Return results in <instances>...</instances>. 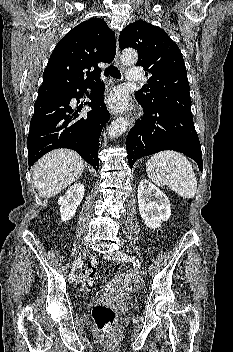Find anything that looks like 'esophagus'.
Segmentation results:
<instances>
[{"label": "esophagus", "instance_id": "esophagus-1", "mask_svg": "<svg viewBox=\"0 0 233 352\" xmlns=\"http://www.w3.org/2000/svg\"><path fill=\"white\" fill-rule=\"evenodd\" d=\"M115 64L118 67H122L121 60H120V51H119L118 43H117V48H116ZM129 123H130L131 126L133 125L134 117H132V116L129 117Z\"/></svg>", "mask_w": 233, "mask_h": 352}]
</instances>
